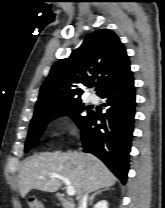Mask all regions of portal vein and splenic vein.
Here are the masks:
<instances>
[{
	"mask_svg": "<svg viewBox=\"0 0 165 208\" xmlns=\"http://www.w3.org/2000/svg\"><path fill=\"white\" fill-rule=\"evenodd\" d=\"M50 177L59 178L60 180H62L65 183V185L67 186V190H66L67 194L69 196L75 195L76 191H75L74 187L72 186L70 180L67 177H64V176L56 174V173H50Z\"/></svg>",
	"mask_w": 165,
	"mask_h": 208,
	"instance_id": "portal-vein-and-splenic-vein-1",
	"label": "portal vein and splenic vein"
}]
</instances>
